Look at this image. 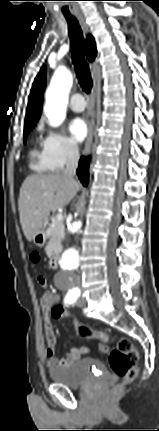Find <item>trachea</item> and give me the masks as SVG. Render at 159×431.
I'll return each instance as SVG.
<instances>
[{"label":"trachea","mask_w":159,"mask_h":431,"mask_svg":"<svg viewBox=\"0 0 159 431\" xmlns=\"http://www.w3.org/2000/svg\"><path fill=\"white\" fill-rule=\"evenodd\" d=\"M66 19L70 36L72 62L76 70V76L83 91L89 94L92 88V79L89 65L85 59L83 34L74 17H66Z\"/></svg>","instance_id":"1"}]
</instances>
